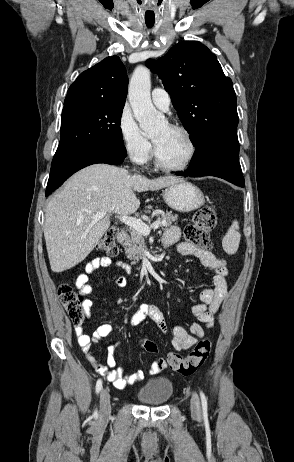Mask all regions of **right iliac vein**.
<instances>
[{
  "label": "right iliac vein",
  "instance_id": "63e3f726",
  "mask_svg": "<svg viewBox=\"0 0 294 462\" xmlns=\"http://www.w3.org/2000/svg\"><path fill=\"white\" fill-rule=\"evenodd\" d=\"M111 414L110 395L107 389H102L100 394V414L99 420L104 422L109 419Z\"/></svg>",
  "mask_w": 294,
  "mask_h": 462
}]
</instances>
